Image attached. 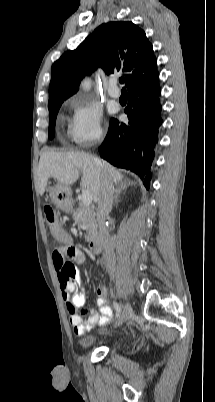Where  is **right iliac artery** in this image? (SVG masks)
<instances>
[{
	"label": "right iliac artery",
	"mask_w": 215,
	"mask_h": 402,
	"mask_svg": "<svg viewBox=\"0 0 215 402\" xmlns=\"http://www.w3.org/2000/svg\"><path fill=\"white\" fill-rule=\"evenodd\" d=\"M113 306H114V308L116 310V317H119V315L121 313V306L116 302H113Z\"/></svg>",
	"instance_id": "82829eb1"
}]
</instances>
